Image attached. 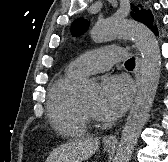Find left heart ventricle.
<instances>
[{
	"mask_svg": "<svg viewBox=\"0 0 168 162\" xmlns=\"http://www.w3.org/2000/svg\"><path fill=\"white\" fill-rule=\"evenodd\" d=\"M97 95L91 94L82 98L84 105L96 115Z\"/></svg>",
	"mask_w": 168,
	"mask_h": 162,
	"instance_id": "left-heart-ventricle-1",
	"label": "left heart ventricle"
}]
</instances>
